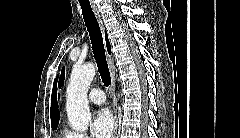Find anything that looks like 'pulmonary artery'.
<instances>
[{"instance_id":"e3ab8cb5","label":"pulmonary artery","mask_w":240,"mask_h":138,"mask_svg":"<svg viewBox=\"0 0 240 138\" xmlns=\"http://www.w3.org/2000/svg\"><path fill=\"white\" fill-rule=\"evenodd\" d=\"M89 100L96 105L105 103V95L101 89L94 88L89 93Z\"/></svg>"}]
</instances>
